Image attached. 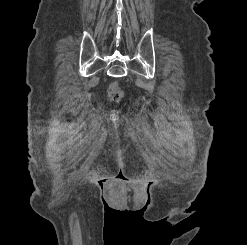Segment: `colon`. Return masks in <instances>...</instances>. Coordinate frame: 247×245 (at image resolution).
Here are the masks:
<instances>
[{
    "instance_id": "colon-1",
    "label": "colon",
    "mask_w": 247,
    "mask_h": 245,
    "mask_svg": "<svg viewBox=\"0 0 247 245\" xmlns=\"http://www.w3.org/2000/svg\"><path fill=\"white\" fill-rule=\"evenodd\" d=\"M109 99L119 101L122 97V92L116 83H112L108 88Z\"/></svg>"
}]
</instances>
